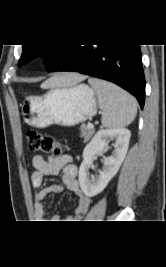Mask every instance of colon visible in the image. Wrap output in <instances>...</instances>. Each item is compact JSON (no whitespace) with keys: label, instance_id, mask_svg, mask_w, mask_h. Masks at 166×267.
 I'll list each match as a JSON object with an SVG mask.
<instances>
[{"label":"colon","instance_id":"5ec220e1","mask_svg":"<svg viewBox=\"0 0 166 267\" xmlns=\"http://www.w3.org/2000/svg\"><path fill=\"white\" fill-rule=\"evenodd\" d=\"M28 148L31 151H42L51 153L55 156H60L63 152L61 143L49 134H42L35 130H27L25 132Z\"/></svg>","mask_w":166,"mask_h":267}]
</instances>
